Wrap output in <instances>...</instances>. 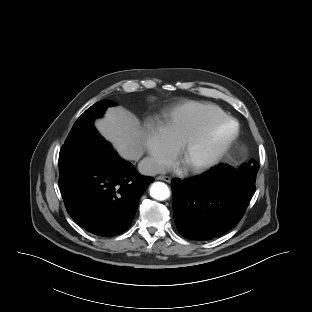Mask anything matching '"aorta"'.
Wrapping results in <instances>:
<instances>
[{"instance_id": "obj_1", "label": "aorta", "mask_w": 312, "mask_h": 312, "mask_svg": "<svg viewBox=\"0 0 312 312\" xmlns=\"http://www.w3.org/2000/svg\"><path fill=\"white\" fill-rule=\"evenodd\" d=\"M150 195L156 200L163 201L170 196V190L165 183L155 182L150 188Z\"/></svg>"}]
</instances>
